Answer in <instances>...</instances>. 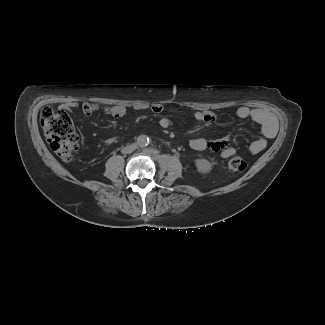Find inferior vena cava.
Instances as JSON below:
<instances>
[{"mask_svg": "<svg viewBox=\"0 0 325 325\" xmlns=\"http://www.w3.org/2000/svg\"><path fill=\"white\" fill-rule=\"evenodd\" d=\"M135 149H136V145L131 144V145H128V146L124 147L121 150V152L124 153V154H129V153H132Z\"/></svg>", "mask_w": 325, "mask_h": 325, "instance_id": "1", "label": "inferior vena cava"}]
</instances>
